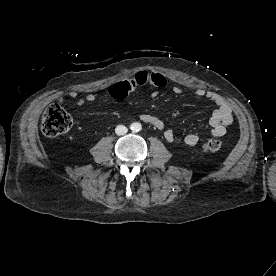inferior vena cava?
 I'll list each match as a JSON object with an SVG mask.
<instances>
[{
	"mask_svg": "<svg viewBox=\"0 0 276 276\" xmlns=\"http://www.w3.org/2000/svg\"><path fill=\"white\" fill-rule=\"evenodd\" d=\"M128 129L124 125H118L115 128V132L117 135H125L127 133Z\"/></svg>",
	"mask_w": 276,
	"mask_h": 276,
	"instance_id": "inferior-vena-cava-1",
	"label": "inferior vena cava"
}]
</instances>
